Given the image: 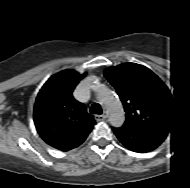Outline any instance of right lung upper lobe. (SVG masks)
<instances>
[{"label": "right lung upper lobe", "mask_w": 190, "mask_h": 188, "mask_svg": "<svg viewBox=\"0 0 190 188\" xmlns=\"http://www.w3.org/2000/svg\"><path fill=\"white\" fill-rule=\"evenodd\" d=\"M85 76L64 70L43 85L34 106V123L41 138L50 146L68 151L84 142L95 125L93 116L72 93Z\"/></svg>", "instance_id": "1"}]
</instances>
